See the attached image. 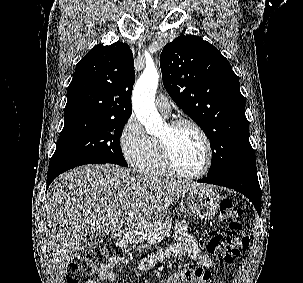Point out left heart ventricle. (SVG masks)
I'll return each mask as SVG.
<instances>
[{"instance_id":"1","label":"left heart ventricle","mask_w":303,"mask_h":283,"mask_svg":"<svg viewBox=\"0 0 303 283\" xmlns=\"http://www.w3.org/2000/svg\"><path fill=\"white\" fill-rule=\"evenodd\" d=\"M158 137L170 142L177 168L187 174L200 171L205 163L206 151L199 134L190 126H182L171 131L166 125Z\"/></svg>"}]
</instances>
